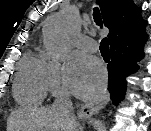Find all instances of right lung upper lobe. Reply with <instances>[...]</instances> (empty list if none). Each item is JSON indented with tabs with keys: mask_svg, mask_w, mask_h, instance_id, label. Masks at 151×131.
I'll use <instances>...</instances> for the list:
<instances>
[{
	"mask_svg": "<svg viewBox=\"0 0 151 131\" xmlns=\"http://www.w3.org/2000/svg\"><path fill=\"white\" fill-rule=\"evenodd\" d=\"M104 24L109 28L111 47L133 45L141 48L146 40V22L141 17V8L132 0H97Z\"/></svg>",
	"mask_w": 151,
	"mask_h": 131,
	"instance_id": "cb5924a9",
	"label": "right lung upper lobe"
}]
</instances>
